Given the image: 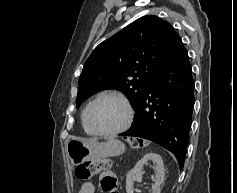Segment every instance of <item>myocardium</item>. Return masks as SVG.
<instances>
[{
  "label": "myocardium",
  "mask_w": 237,
  "mask_h": 193,
  "mask_svg": "<svg viewBox=\"0 0 237 193\" xmlns=\"http://www.w3.org/2000/svg\"><path fill=\"white\" fill-rule=\"evenodd\" d=\"M106 97L114 98V99L118 100L119 102H121V104L124 106V108L126 109V112H127V117H126L125 123L121 127L114 129V130H110V131H102V130L97 129L93 125V123L91 121V117H90L91 110H92V107L94 106V104L97 101H99L100 99L106 98ZM134 118H135V111H134L133 106L129 102V100L126 97H124L123 95L116 93V92H103V93L99 94L88 104V106L86 108L87 124L96 135H100V136H116V135H119V134L127 131L132 126Z\"/></svg>",
  "instance_id": "obj_1"
}]
</instances>
